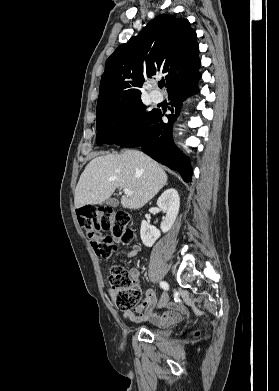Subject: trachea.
Segmentation results:
<instances>
[{"mask_svg": "<svg viewBox=\"0 0 279 391\" xmlns=\"http://www.w3.org/2000/svg\"><path fill=\"white\" fill-rule=\"evenodd\" d=\"M158 86H159L160 88L164 87V86H165V82H164V81L159 82Z\"/></svg>", "mask_w": 279, "mask_h": 391, "instance_id": "trachea-1", "label": "trachea"}]
</instances>
